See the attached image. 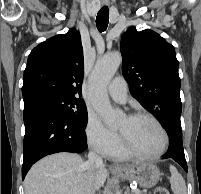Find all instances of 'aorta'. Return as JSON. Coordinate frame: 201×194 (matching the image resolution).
I'll list each match as a JSON object with an SVG mask.
<instances>
[{
    "instance_id": "aorta-1",
    "label": "aorta",
    "mask_w": 201,
    "mask_h": 194,
    "mask_svg": "<svg viewBox=\"0 0 201 194\" xmlns=\"http://www.w3.org/2000/svg\"><path fill=\"white\" fill-rule=\"evenodd\" d=\"M122 62L118 52L107 54L97 60L89 78L90 101L95 111L109 127L118 126L124 114L112 108L107 87ZM108 194H113L111 191Z\"/></svg>"
}]
</instances>
